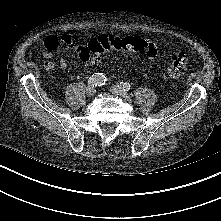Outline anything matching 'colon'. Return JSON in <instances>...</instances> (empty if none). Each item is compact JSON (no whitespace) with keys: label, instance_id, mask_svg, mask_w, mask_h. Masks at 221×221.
I'll return each mask as SVG.
<instances>
[{"label":"colon","instance_id":"colon-1","mask_svg":"<svg viewBox=\"0 0 221 221\" xmlns=\"http://www.w3.org/2000/svg\"><path fill=\"white\" fill-rule=\"evenodd\" d=\"M147 49V41L141 37L129 36L117 38L102 35L91 40L88 45L81 50L80 59L87 63L98 61L102 55L110 50L126 51L132 53H143ZM187 71V59L184 55L173 57L170 65L165 69L164 75L168 78H177Z\"/></svg>","mask_w":221,"mask_h":221}]
</instances>
